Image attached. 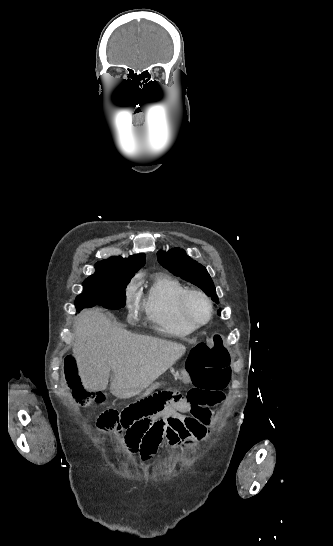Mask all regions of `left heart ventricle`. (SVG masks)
<instances>
[{"instance_id": "b2bd125f", "label": "left heart ventricle", "mask_w": 333, "mask_h": 546, "mask_svg": "<svg viewBox=\"0 0 333 546\" xmlns=\"http://www.w3.org/2000/svg\"><path fill=\"white\" fill-rule=\"evenodd\" d=\"M191 312L197 320L202 321L208 315V308L203 301L195 299L191 305Z\"/></svg>"}]
</instances>
